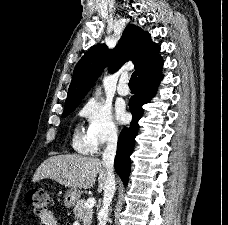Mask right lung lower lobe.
<instances>
[{"instance_id": "1", "label": "right lung lower lobe", "mask_w": 228, "mask_h": 225, "mask_svg": "<svg viewBox=\"0 0 228 225\" xmlns=\"http://www.w3.org/2000/svg\"><path fill=\"white\" fill-rule=\"evenodd\" d=\"M162 66L163 61L159 56L138 73L137 93L131 97L129 102L133 120L130 123V127L123 128L119 136L115 157V171L125 184L129 179L131 166L130 155L133 152L135 137L139 129L138 120L143 115L142 106L155 94L158 84L162 80Z\"/></svg>"}]
</instances>
